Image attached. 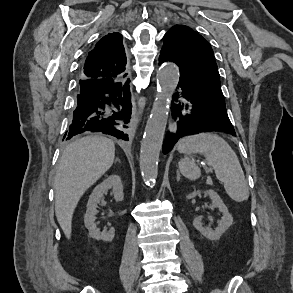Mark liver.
Segmentation results:
<instances>
[{"instance_id": "6515ba94", "label": "liver", "mask_w": 293, "mask_h": 293, "mask_svg": "<svg viewBox=\"0 0 293 293\" xmlns=\"http://www.w3.org/2000/svg\"><path fill=\"white\" fill-rule=\"evenodd\" d=\"M114 158V142L103 136L80 138L63 152L54 179L55 214L67 238L80 198L110 169Z\"/></svg>"}]
</instances>
